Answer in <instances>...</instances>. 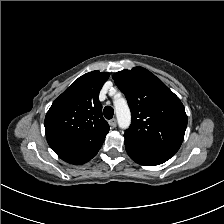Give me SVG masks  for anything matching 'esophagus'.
<instances>
[{
	"label": "esophagus",
	"mask_w": 224,
	"mask_h": 224,
	"mask_svg": "<svg viewBox=\"0 0 224 224\" xmlns=\"http://www.w3.org/2000/svg\"><path fill=\"white\" fill-rule=\"evenodd\" d=\"M109 125L112 126V127H116V125H117L116 118L110 119L109 120Z\"/></svg>",
	"instance_id": "1"
}]
</instances>
